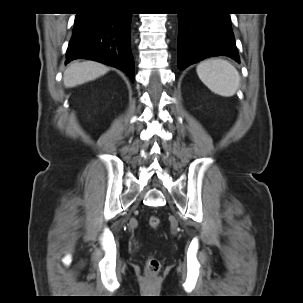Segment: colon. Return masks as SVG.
<instances>
[{
	"label": "colon",
	"mask_w": 303,
	"mask_h": 303,
	"mask_svg": "<svg viewBox=\"0 0 303 303\" xmlns=\"http://www.w3.org/2000/svg\"><path fill=\"white\" fill-rule=\"evenodd\" d=\"M149 225L152 228H158L160 226V219L156 216L150 217ZM145 269H146V273L149 276H151V277L156 276L158 274V272L160 271L159 260L154 256H150L146 261Z\"/></svg>",
	"instance_id": "obj_1"
}]
</instances>
